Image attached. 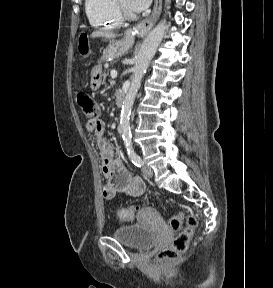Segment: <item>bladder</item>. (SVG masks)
Wrapping results in <instances>:
<instances>
[{
    "label": "bladder",
    "mask_w": 273,
    "mask_h": 288,
    "mask_svg": "<svg viewBox=\"0 0 273 288\" xmlns=\"http://www.w3.org/2000/svg\"><path fill=\"white\" fill-rule=\"evenodd\" d=\"M113 237L123 245L136 250L150 249L158 238L154 231L141 225L121 226L114 231Z\"/></svg>",
    "instance_id": "bladder-1"
}]
</instances>
